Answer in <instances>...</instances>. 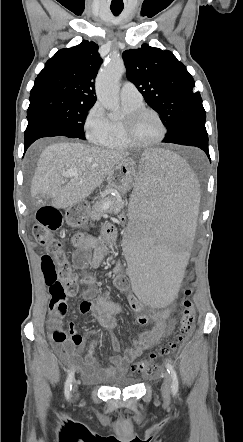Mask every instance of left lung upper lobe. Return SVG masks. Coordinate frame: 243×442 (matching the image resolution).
I'll return each instance as SVG.
<instances>
[{
  "label": "left lung upper lobe",
  "mask_w": 243,
  "mask_h": 442,
  "mask_svg": "<svg viewBox=\"0 0 243 442\" xmlns=\"http://www.w3.org/2000/svg\"><path fill=\"white\" fill-rule=\"evenodd\" d=\"M123 59L128 78L167 128L165 139L191 118L206 115L193 77L172 52L143 44L124 51Z\"/></svg>",
  "instance_id": "5c2ea615"
}]
</instances>
